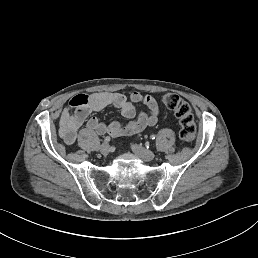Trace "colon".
<instances>
[{
    "label": "colon",
    "instance_id": "colon-1",
    "mask_svg": "<svg viewBox=\"0 0 258 258\" xmlns=\"http://www.w3.org/2000/svg\"><path fill=\"white\" fill-rule=\"evenodd\" d=\"M162 102L176 116L181 139L188 142L193 141L196 134V125L190 105L173 93L165 94L162 97Z\"/></svg>",
    "mask_w": 258,
    "mask_h": 258
}]
</instances>
